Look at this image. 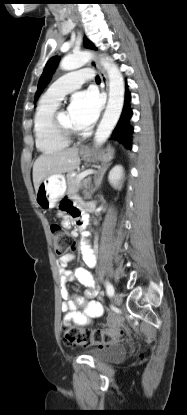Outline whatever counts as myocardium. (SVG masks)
Returning a JSON list of instances; mask_svg holds the SVG:
<instances>
[{
  "label": "myocardium",
  "mask_w": 187,
  "mask_h": 415,
  "mask_svg": "<svg viewBox=\"0 0 187 415\" xmlns=\"http://www.w3.org/2000/svg\"><path fill=\"white\" fill-rule=\"evenodd\" d=\"M59 111H56L53 116V124L56 129V131L65 139L71 141L75 137L79 135V131L77 129H71L66 127L62 124V122L59 119Z\"/></svg>",
  "instance_id": "f54148a6"
}]
</instances>
